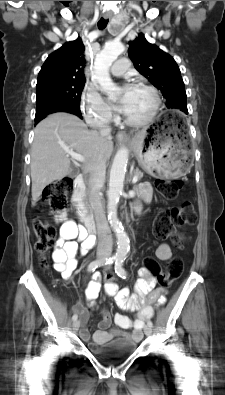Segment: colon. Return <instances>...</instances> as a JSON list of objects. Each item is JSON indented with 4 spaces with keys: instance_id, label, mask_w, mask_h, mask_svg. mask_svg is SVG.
Returning <instances> with one entry per match:
<instances>
[{
    "instance_id": "colon-1",
    "label": "colon",
    "mask_w": 225,
    "mask_h": 395,
    "mask_svg": "<svg viewBox=\"0 0 225 395\" xmlns=\"http://www.w3.org/2000/svg\"><path fill=\"white\" fill-rule=\"evenodd\" d=\"M157 191L166 199H175L183 187L182 180L157 179L155 181ZM73 188V179L64 177L52 182L46 187L42 195V202L47 204L52 212H63L68 204V194ZM196 214L191 203L183 202L180 205L161 211L155 219L153 234L158 238H172L177 247H182L185 241L184 233L181 229L194 224ZM33 231L36 238L35 249L40 256V266H47L46 256L54 245L56 239V228L46 221L35 219L33 221ZM183 263L180 258H173L166 266V270L159 267L158 263L152 259H143L140 266L141 272H150L155 275V281H159L160 288H173L174 281L182 273ZM109 278H104L103 283H118L115 279L116 272H109Z\"/></svg>"
}]
</instances>
